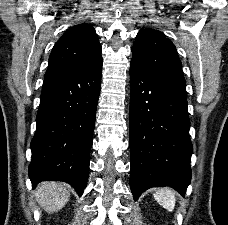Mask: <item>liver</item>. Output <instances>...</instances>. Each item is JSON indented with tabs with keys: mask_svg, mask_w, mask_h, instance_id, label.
<instances>
[{
	"mask_svg": "<svg viewBox=\"0 0 228 225\" xmlns=\"http://www.w3.org/2000/svg\"><path fill=\"white\" fill-rule=\"evenodd\" d=\"M37 201L43 207L46 213H57L65 207L70 197V189L66 183H54V181H46L39 183L35 193Z\"/></svg>",
	"mask_w": 228,
	"mask_h": 225,
	"instance_id": "liver-1",
	"label": "liver"
}]
</instances>
